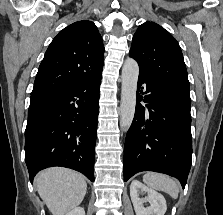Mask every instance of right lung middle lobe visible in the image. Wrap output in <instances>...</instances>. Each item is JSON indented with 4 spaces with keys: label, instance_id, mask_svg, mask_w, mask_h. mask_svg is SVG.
<instances>
[{
    "label": "right lung middle lobe",
    "instance_id": "obj_1",
    "mask_svg": "<svg viewBox=\"0 0 223 215\" xmlns=\"http://www.w3.org/2000/svg\"><path fill=\"white\" fill-rule=\"evenodd\" d=\"M40 98H43V96L31 97V100L40 99Z\"/></svg>",
    "mask_w": 223,
    "mask_h": 215
}]
</instances>
